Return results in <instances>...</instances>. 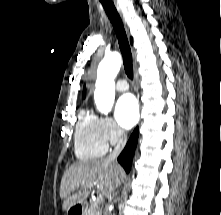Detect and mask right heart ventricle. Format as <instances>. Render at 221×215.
I'll return each instance as SVG.
<instances>
[{"instance_id":"right-heart-ventricle-1","label":"right heart ventricle","mask_w":221,"mask_h":215,"mask_svg":"<svg viewBox=\"0 0 221 215\" xmlns=\"http://www.w3.org/2000/svg\"><path fill=\"white\" fill-rule=\"evenodd\" d=\"M74 149L80 160H91L103 156L107 144L101 138L98 118L87 110H81L74 135Z\"/></svg>"}]
</instances>
